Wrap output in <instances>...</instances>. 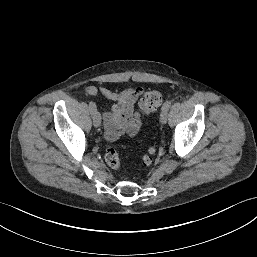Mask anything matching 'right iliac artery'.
I'll return each instance as SVG.
<instances>
[{
	"label": "right iliac artery",
	"mask_w": 257,
	"mask_h": 257,
	"mask_svg": "<svg viewBox=\"0 0 257 257\" xmlns=\"http://www.w3.org/2000/svg\"><path fill=\"white\" fill-rule=\"evenodd\" d=\"M89 109L92 115H94L97 112V108L94 102H89Z\"/></svg>",
	"instance_id": "82829eb1"
}]
</instances>
